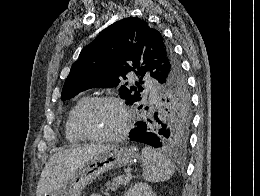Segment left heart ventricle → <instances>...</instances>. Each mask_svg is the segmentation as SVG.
<instances>
[{
  "mask_svg": "<svg viewBox=\"0 0 260 196\" xmlns=\"http://www.w3.org/2000/svg\"><path fill=\"white\" fill-rule=\"evenodd\" d=\"M123 124L120 109L110 103H99L91 107L83 117L85 129L93 135H107L116 132Z\"/></svg>",
  "mask_w": 260,
  "mask_h": 196,
  "instance_id": "b2bd125f",
  "label": "left heart ventricle"
}]
</instances>
